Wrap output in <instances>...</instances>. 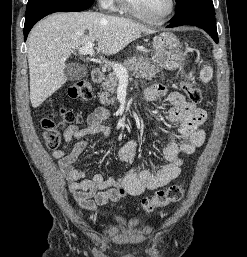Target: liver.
Returning a JSON list of instances; mask_svg holds the SVG:
<instances>
[{
    "label": "liver",
    "mask_w": 247,
    "mask_h": 257,
    "mask_svg": "<svg viewBox=\"0 0 247 257\" xmlns=\"http://www.w3.org/2000/svg\"><path fill=\"white\" fill-rule=\"evenodd\" d=\"M149 29L130 19L98 12L56 13L40 21L28 37L30 100L40 106L67 78L65 61L85 44L98 43V51L113 55Z\"/></svg>",
    "instance_id": "obj_1"
}]
</instances>
